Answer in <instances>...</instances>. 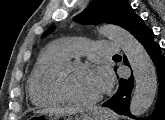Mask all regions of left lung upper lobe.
I'll list each match as a JSON object with an SVG mask.
<instances>
[{
  "mask_svg": "<svg viewBox=\"0 0 165 120\" xmlns=\"http://www.w3.org/2000/svg\"><path fill=\"white\" fill-rule=\"evenodd\" d=\"M139 18L126 0H93L89 6L75 17L82 24L112 23L131 32L136 20ZM54 27L48 29L43 37L50 33Z\"/></svg>",
  "mask_w": 165,
  "mask_h": 120,
  "instance_id": "obj_1",
  "label": "left lung upper lobe"
}]
</instances>
